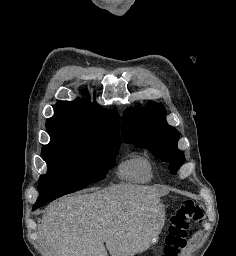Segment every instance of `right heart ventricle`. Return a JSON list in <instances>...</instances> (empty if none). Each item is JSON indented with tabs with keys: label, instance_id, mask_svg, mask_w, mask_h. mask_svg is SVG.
I'll list each match as a JSON object with an SVG mask.
<instances>
[{
	"label": "right heart ventricle",
	"instance_id": "obj_1",
	"mask_svg": "<svg viewBox=\"0 0 236 256\" xmlns=\"http://www.w3.org/2000/svg\"><path fill=\"white\" fill-rule=\"evenodd\" d=\"M118 174L121 179L132 183H148L154 178L152 163L144 155H135L122 162Z\"/></svg>",
	"mask_w": 236,
	"mask_h": 256
}]
</instances>
